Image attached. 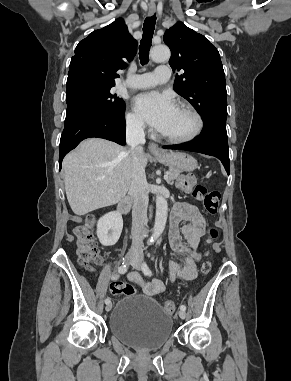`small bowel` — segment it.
Here are the masks:
<instances>
[{"instance_id": "1", "label": "small bowel", "mask_w": 291, "mask_h": 381, "mask_svg": "<svg viewBox=\"0 0 291 381\" xmlns=\"http://www.w3.org/2000/svg\"><path fill=\"white\" fill-rule=\"evenodd\" d=\"M185 222L183 226L181 223ZM205 230V220L196 206L192 204H179L171 214L169 241L175 252L184 256L181 263L171 262V278L180 276L186 280L197 276V261L199 259V244ZM112 278L117 279V275ZM129 281L141 287L142 291L149 296L162 293L165 289L163 281L154 279L145 281L137 272L127 275Z\"/></svg>"}]
</instances>
